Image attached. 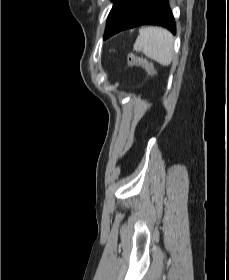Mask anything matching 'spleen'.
Listing matches in <instances>:
<instances>
[{
	"instance_id": "1",
	"label": "spleen",
	"mask_w": 229,
	"mask_h": 280,
	"mask_svg": "<svg viewBox=\"0 0 229 280\" xmlns=\"http://www.w3.org/2000/svg\"><path fill=\"white\" fill-rule=\"evenodd\" d=\"M173 43V35L166 29L146 27L140 30L133 49L163 66H168L173 58Z\"/></svg>"
}]
</instances>
